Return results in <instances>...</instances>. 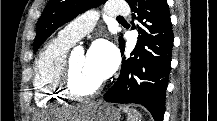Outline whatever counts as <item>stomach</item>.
Here are the masks:
<instances>
[{"mask_svg":"<svg viewBox=\"0 0 217 121\" xmlns=\"http://www.w3.org/2000/svg\"><path fill=\"white\" fill-rule=\"evenodd\" d=\"M120 110L110 104H97L91 111L87 121H120Z\"/></svg>","mask_w":217,"mask_h":121,"instance_id":"0dacf381","label":"stomach"}]
</instances>
